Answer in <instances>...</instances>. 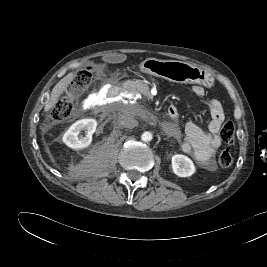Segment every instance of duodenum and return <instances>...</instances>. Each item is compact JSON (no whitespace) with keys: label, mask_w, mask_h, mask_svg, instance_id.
<instances>
[{"label":"duodenum","mask_w":267,"mask_h":267,"mask_svg":"<svg viewBox=\"0 0 267 267\" xmlns=\"http://www.w3.org/2000/svg\"><path fill=\"white\" fill-rule=\"evenodd\" d=\"M129 91V84L126 81H119L113 88H112V95L115 98H124L127 99L129 97V94L127 93ZM168 115L172 119H175L177 117V110L174 106H170L168 108Z\"/></svg>","instance_id":"duodenum-1"}]
</instances>
